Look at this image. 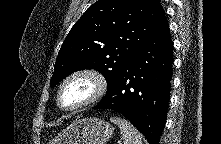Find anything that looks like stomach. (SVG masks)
Wrapping results in <instances>:
<instances>
[{"label": "stomach", "mask_w": 221, "mask_h": 144, "mask_svg": "<svg viewBox=\"0 0 221 144\" xmlns=\"http://www.w3.org/2000/svg\"><path fill=\"white\" fill-rule=\"evenodd\" d=\"M113 134L110 123L97 117L74 120L52 144H105Z\"/></svg>", "instance_id": "stomach-1"}]
</instances>
